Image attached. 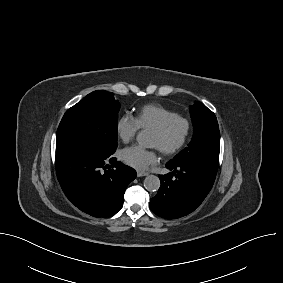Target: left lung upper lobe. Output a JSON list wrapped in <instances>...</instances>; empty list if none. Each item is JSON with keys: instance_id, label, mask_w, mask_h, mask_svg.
<instances>
[{"instance_id": "1", "label": "left lung upper lobe", "mask_w": 283, "mask_h": 283, "mask_svg": "<svg viewBox=\"0 0 283 283\" xmlns=\"http://www.w3.org/2000/svg\"><path fill=\"white\" fill-rule=\"evenodd\" d=\"M194 127L192 141L170 162H200L217 172L219 165L220 132L215 114L203 103L190 106Z\"/></svg>"}]
</instances>
